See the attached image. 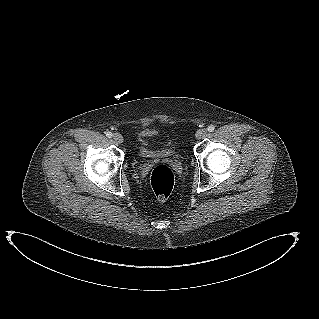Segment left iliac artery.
Masks as SVG:
<instances>
[{"label": "left iliac artery", "mask_w": 319, "mask_h": 319, "mask_svg": "<svg viewBox=\"0 0 319 319\" xmlns=\"http://www.w3.org/2000/svg\"><path fill=\"white\" fill-rule=\"evenodd\" d=\"M214 129H215V127H214L213 125H210V126H208V128H207V130H208L209 132H213Z\"/></svg>", "instance_id": "obj_1"}]
</instances>
